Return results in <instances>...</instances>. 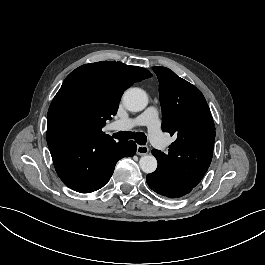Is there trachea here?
Masks as SVG:
<instances>
[{
    "mask_svg": "<svg viewBox=\"0 0 265 265\" xmlns=\"http://www.w3.org/2000/svg\"><path fill=\"white\" fill-rule=\"evenodd\" d=\"M114 138L116 139H135V141L139 145H145L147 142V136L143 132H127V131H120L114 134Z\"/></svg>",
    "mask_w": 265,
    "mask_h": 265,
    "instance_id": "3493384b",
    "label": "trachea"
}]
</instances>
